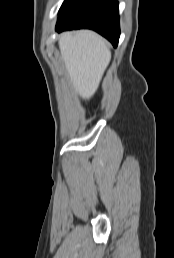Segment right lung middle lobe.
Returning a JSON list of instances; mask_svg holds the SVG:
<instances>
[{"instance_id":"obj_1","label":"right lung middle lobe","mask_w":174,"mask_h":258,"mask_svg":"<svg viewBox=\"0 0 174 258\" xmlns=\"http://www.w3.org/2000/svg\"><path fill=\"white\" fill-rule=\"evenodd\" d=\"M69 0H65L64 2H63V4H62V6H61V8L68 2ZM60 8V9H61Z\"/></svg>"}]
</instances>
